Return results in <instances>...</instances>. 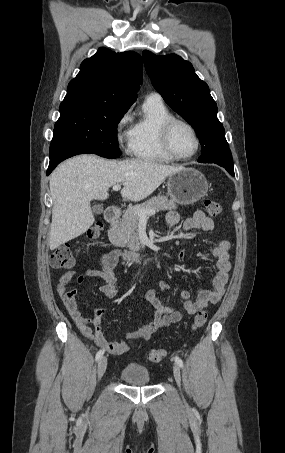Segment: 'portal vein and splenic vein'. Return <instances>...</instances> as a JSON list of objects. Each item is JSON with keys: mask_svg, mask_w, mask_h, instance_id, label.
<instances>
[{"mask_svg": "<svg viewBox=\"0 0 285 453\" xmlns=\"http://www.w3.org/2000/svg\"><path fill=\"white\" fill-rule=\"evenodd\" d=\"M121 188V185L120 184H115L113 185V190L114 191H118L120 190ZM140 218H147V216H151V215H154L156 212L154 210H144V209H140V208H137V209H134L133 210Z\"/></svg>", "mask_w": 285, "mask_h": 453, "instance_id": "1", "label": "portal vein and splenic vein"}]
</instances>
